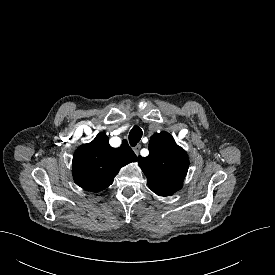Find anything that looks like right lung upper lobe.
Listing matches in <instances>:
<instances>
[{"mask_svg":"<svg viewBox=\"0 0 275 275\" xmlns=\"http://www.w3.org/2000/svg\"><path fill=\"white\" fill-rule=\"evenodd\" d=\"M104 133L81 145L74 153L72 173L77 185L91 192H99L112 184L120 168L136 162L137 156L126 140L119 148H112Z\"/></svg>","mask_w":275,"mask_h":275,"instance_id":"cb5924a9","label":"right lung upper lobe"}]
</instances>
